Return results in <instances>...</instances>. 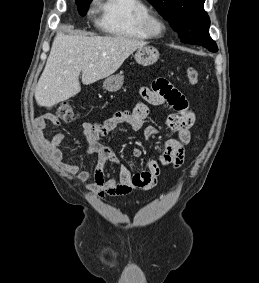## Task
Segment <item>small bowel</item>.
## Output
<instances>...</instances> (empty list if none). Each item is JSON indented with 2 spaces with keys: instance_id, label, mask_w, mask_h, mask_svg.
Segmentation results:
<instances>
[{
  "instance_id": "c3829d8e",
  "label": "small bowel",
  "mask_w": 259,
  "mask_h": 283,
  "mask_svg": "<svg viewBox=\"0 0 259 283\" xmlns=\"http://www.w3.org/2000/svg\"><path fill=\"white\" fill-rule=\"evenodd\" d=\"M140 96L141 100L130 110L117 111L101 122L85 121L81 124L82 133L87 141L86 152L98 157V164L93 172L82 170L78 165L69 164L64 160L60 150V145L65 140L64 133H55L47 142V148L52 157L68 174L73 175L80 182L93 177V182L87 184L86 189L99 198L106 195L122 197L134 190L153 189L162 168L178 169L184 162V148L190 142V128L195 121V115L189 103L176 88L164 79L153 82L151 88H142ZM147 104H166L174 110V113L165 118V123L176 137L165 142L163 153L158 158L147 161L141 171L132 172L120 164L110 135L115 134L122 125H128L133 130H140L144 121L151 115ZM47 122L59 125L57 117L49 112L41 114L34 120L35 134L40 141H44ZM144 134L146 138L152 139L156 134V129L146 127ZM132 154L134 157H141L142 150L134 148ZM105 162L119 166L118 177H110L105 172Z\"/></svg>"
}]
</instances>
